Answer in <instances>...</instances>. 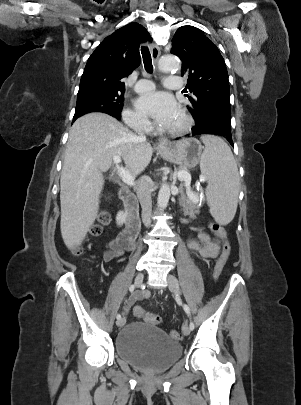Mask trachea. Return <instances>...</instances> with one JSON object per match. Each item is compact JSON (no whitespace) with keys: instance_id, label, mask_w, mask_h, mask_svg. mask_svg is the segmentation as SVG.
<instances>
[{"instance_id":"3493384b","label":"trachea","mask_w":301,"mask_h":405,"mask_svg":"<svg viewBox=\"0 0 301 405\" xmlns=\"http://www.w3.org/2000/svg\"><path fill=\"white\" fill-rule=\"evenodd\" d=\"M141 54H142L145 70L148 73H152L153 72L152 58H151V54H150V51L147 46L141 47Z\"/></svg>"}]
</instances>
